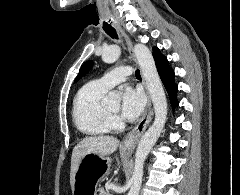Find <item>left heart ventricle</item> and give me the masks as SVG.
I'll use <instances>...</instances> for the list:
<instances>
[{
    "label": "left heart ventricle",
    "mask_w": 240,
    "mask_h": 195,
    "mask_svg": "<svg viewBox=\"0 0 240 195\" xmlns=\"http://www.w3.org/2000/svg\"><path fill=\"white\" fill-rule=\"evenodd\" d=\"M113 112L119 111V101L113 102L110 106H108Z\"/></svg>",
    "instance_id": "b2bd125f"
}]
</instances>
